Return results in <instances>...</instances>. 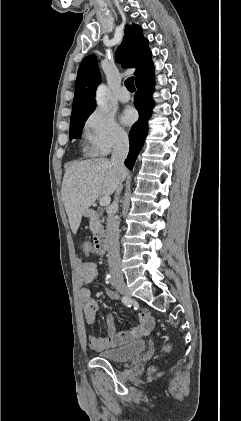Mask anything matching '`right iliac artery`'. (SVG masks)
Masks as SVG:
<instances>
[{
	"instance_id": "1",
	"label": "right iliac artery",
	"mask_w": 241,
	"mask_h": 421,
	"mask_svg": "<svg viewBox=\"0 0 241 421\" xmlns=\"http://www.w3.org/2000/svg\"><path fill=\"white\" fill-rule=\"evenodd\" d=\"M109 278H110V274H107L106 283H109ZM122 303L127 307H131V300L127 297H122Z\"/></svg>"
}]
</instances>
